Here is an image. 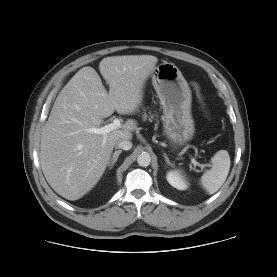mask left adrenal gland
<instances>
[{
	"label": "left adrenal gland",
	"mask_w": 277,
	"mask_h": 277,
	"mask_svg": "<svg viewBox=\"0 0 277 277\" xmlns=\"http://www.w3.org/2000/svg\"><path fill=\"white\" fill-rule=\"evenodd\" d=\"M163 156L165 158L167 165L173 166V163L170 162L169 158L167 157V155L165 153L163 154Z\"/></svg>",
	"instance_id": "a2214340"
}]
</instances>
